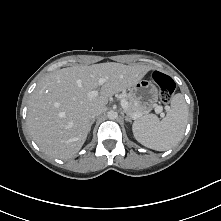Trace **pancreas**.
<instances>
[{"label":"pancreas","instance_id":"obj_1","mask_svg":"<svg viewBox=\"0 0 221 221\" xmlns=\"http://www.w3.org/2000/svg\"><path fill=\"white\" fill-rule=\"evenodd\" d=\"M126 99L128 100V107L125 110L127 115L133 116L134 114H144L146 111L143 109V107L140 105V103L136 100L134 96L131 94L126 96Z\"/></svg>","mask_w":221,"mask_h":221}]
</instances>
